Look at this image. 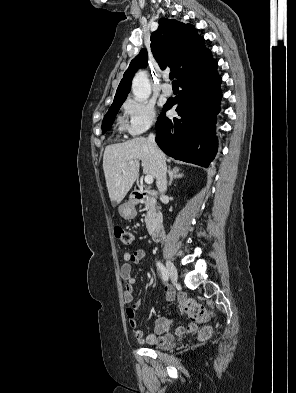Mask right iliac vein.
Segmentation results:
<instances>
[{
  "instance_id": "obj_1",
  "label": "right iliac vein",
  "mask_w": 296,
  "mask_h": 393,
  "mask_svg": "<svg viewBox=\"0 0 296 393\" xmlns=\"http://www.w3.org/2000/svg\"><path fill=\"white\" fill-rule=\"evenodd\" d=\"M166 267H167L168 276L170 277L172 282L176 284L178 279L176 267L170 260L166 261Z\"/></svg>"
}]
</instances>
